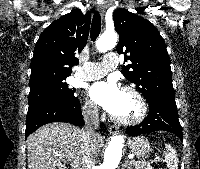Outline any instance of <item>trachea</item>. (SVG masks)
<instances>
[{
  "instance_id": "trachea-1",
  "label": "trachea",
  "mask_w": 200,
  "mask_h": 169,
  "mask_svg": "<svg viewBox=\"0 0 200 169\" xmlns=\"http://www.w3.org/2000/svg\"><path fill=\"white\" fill-rule=\"evenodd\" d=\"M100 31H101V16L98 12H96L93 16L91 31H90V38L92 41L96 40V38L100 34Z\"/></svg>"
}]
</instances>
